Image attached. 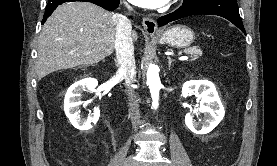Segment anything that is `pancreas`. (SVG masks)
Returning a JSON list of instances; mask_svg holds the SVG:
<instances>
[{
  "instance_id": "cf45deb5",
  "label": "pancreas",
  "mask_w": 277,
  "mask_h": 166,
  "mask_svg": "<svg viewBox=\"0 0 277 166\" xmlns=\"http://www.w3.org/2000/svg\"><path fill=\"white\" fill-rule=\"evenodd\" d=\"M186 54H190L192 59H197L202 55V51L199 47H191L183 51Z\"/></svg>"
}]
</instances>
